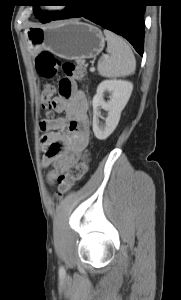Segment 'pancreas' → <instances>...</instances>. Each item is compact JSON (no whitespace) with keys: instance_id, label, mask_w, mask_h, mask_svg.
<instances>
[{"instance_id":"cf45deb5","label":"pancreas","mask_w":181,"mask_h":300,"mask_svg":"<svg viewBox=\"0 0 181 300\" xmlns=\"http://www.w3.org/2000/svg\"><path fill=\"white\" fill-rule=\"evenodd\" d=\"M78 65H82L83 63L81 61H76Z\"/></svg>"}]
</instances>
